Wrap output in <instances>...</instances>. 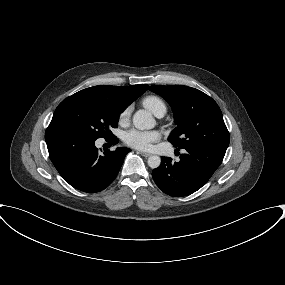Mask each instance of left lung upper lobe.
<instances>
[{
	"instance_id": "1",
	"label": "left lung upper lobe",
	"mask_w": 285,
	"mask_h": 285,
	"mask_svg": "<svg viewBox=\"0 0 285 285\" xmlns=\"http://www.w3.org/2000/svg\"><path fill=\"white\" fill-rule=\"evenodd\" d=\"M149 89L172 107L177 127L169 141L177 148L192 146L227 149L230 136L217 103L202 91L179 85H153Z\"/></svg>"
}]
</instances>
